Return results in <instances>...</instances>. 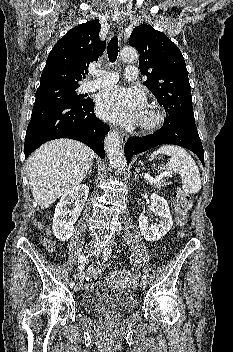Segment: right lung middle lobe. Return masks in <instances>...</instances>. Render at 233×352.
I'll use <instances>...</instances> for the list:
<instances>
[{
	"mask_svg": "<svg viewBox=\"0 0 233 352\" xmlns=\"http://www.w3.org/2000/svg\"><path fill=\"white\" fill-rule=\"evenodd\" d=\"M79 85L52 84L39 87L36 91L34 106L48 104L79 103L83 96L76 93Z\"/></svg>",
	"mask_w": 233,
	"mask_h": 352,
	"instance_id": "1",
	"label": "right lung middle lobe"
}]
</instances>
